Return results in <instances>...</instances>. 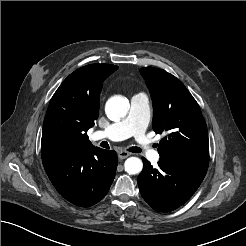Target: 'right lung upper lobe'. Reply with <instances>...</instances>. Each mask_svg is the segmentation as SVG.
Listing matches in <instances>:
<instances>
[{
  "instance_id": "obj_1",
  "label": "right lung upper lobe",
  "mask_w": 246,
  "mask_h": 246,
  "mask_svg": "<svg viewBox=\"0 0 246 246\" xmlns=\"http://www.w3.org/2000/svg\"><path fill=\"white\" fill-rule=\"evenodd\" d=\"M117 66L91 64L71 73L54 93L43 125L41 156L93 147L86 132L99 115L103 81Z\"/></svg>"
}]
</instances>
